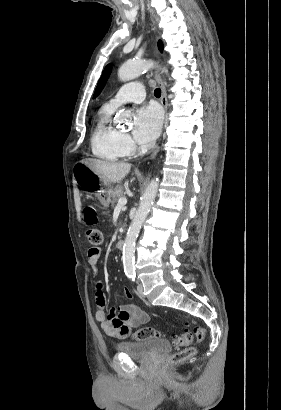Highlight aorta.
<instances>
[{
	"mask_svg": "<svg viewBox=\"0 0 281 410\" xmlns=\"http://www.w3.org/2000/svg\"><path fill=\"white\" fill-rule=\"evenodd\" d=\"M154 67V63L149 60H139L124 63L118 70V77L121 81H130L138 77L144 71ZM129 115L125 111H119L116 116V123L124 124L128 122ZM158 191V178L152 179L148 184L141 198L136 214L129 226L124 246H123V266L126 274H134V253L135 243L145 221L150 208L155 200Z\"/></svg>",
	"mask_w": 281,
	"mask_h": 410,
	"instance_id": "aorta-1",
	"label": "aorta"
}]
</instances>
